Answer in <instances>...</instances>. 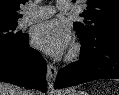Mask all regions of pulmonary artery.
Instances as JSON below:
<instances>
[{
  "label": "pulmonary artery",
  "instance_id": "obj_1",
  "mask_svg": "<svg viewBox=\"0 0 119 95\" xmlns=\"http://www.w3.org/2000/svg\"><path fill=\"white\" fill-rule=\"evenodd\" d=\"M57 9L60 11H68L71 8V5L66 0H60L57 3ZM55 8L52 6H43V7H29L27 13L22 19L23 25H28L33 22H37L43 19H46L52 16L55 12Z\"/></svg>",
  "mask_w": 119,
  "mask_h": 95
}]
</instances>
